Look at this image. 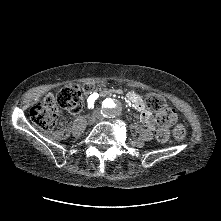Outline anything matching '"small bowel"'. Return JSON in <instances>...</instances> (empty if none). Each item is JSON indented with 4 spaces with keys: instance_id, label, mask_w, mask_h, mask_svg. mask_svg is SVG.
<instances>
[{
    "instance_id": "small-bowel-1",
    "label": "small bowel",
    "mask_w": 221,
    "mask_h": 221,
    "mask_svg": "<svg viewBox=\"0 0 221 221\" xmlns=\"http://www.w3.org/2000/svg\"><path fill=\"white\" fill-rule=\"evenodd\" d=\"M97 93H92L89 98L88 101H92L94 99V97H96ZM129 96V100L131 101V103L136 106L141 114L143 119L150 124V127L152 129H155V120L154 117L152 116V114L145 108V106L143 105L140 97L134 93V92H129L128 93ZM172 121H174V116L172 115Z\"/></svg>"
}]
</instances>
